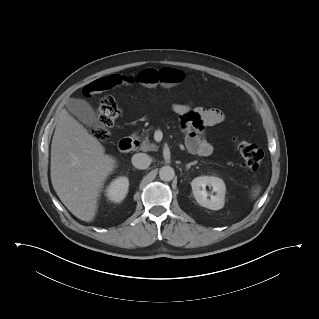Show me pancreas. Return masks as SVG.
Here are the masks:
<instances>
[{"mask_svg": "<svg viewBox=\"0 0 319 319\" xmlns=\"http://www.w3.org/2000/svg\"><path fill=\"white\" fill-rule=\"evenodd\" d=\"M149 130H146L145 133L142 135V143L140 145V149L144 152L146 151H157L158 147L154 143H151L149 140ZM144 136V137H143Z\"/></svg>", "mask_w": 319, "mask_h": 319, "instance_id": "1", "label": "pancreas"}]
</instances>
